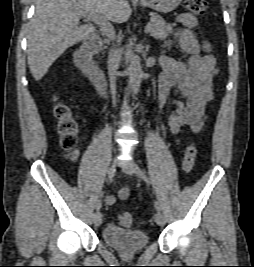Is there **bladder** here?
I'll return each mask as SVG.
<instances>
[{
    "label": "bladder",
    "instance_id": "1",
    "mask_svg": "<svg viewBox=\"0 0 254 267\" xmlns=\"http://www.w3.org/2000/svg\"><path fill=\"white\" fill-rule=\"evenodd\" d=\"M104 241L124 252L143 250L148 244V236L141 229H125L116 224H108L102 232Z\"/></svg>",
    "mask_w": 254,
    "mask_h": 267
}]
</instances>
